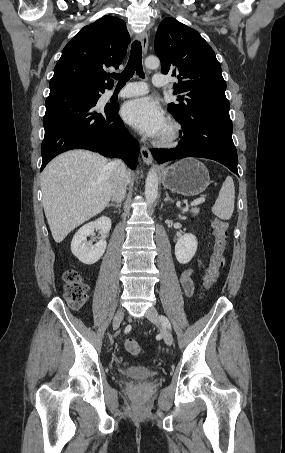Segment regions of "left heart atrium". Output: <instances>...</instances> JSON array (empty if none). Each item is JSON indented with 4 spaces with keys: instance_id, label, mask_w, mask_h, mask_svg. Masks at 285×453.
I'll return each mask as SVG.
<instances>
[{
    "instance_id": "1",
    "label": "left heart atrium",
    "mask_w": 285,
    "mask_h": 453,
    "mask_svg": "<svg viewBox=\"0 0 285 453\" xmlns=\"http://www.w3.org/2000/svg\"><path fill=\"white\" fill-rule=\"evenodd\" d=\"M122 117L128 124L150 137L160 136L166 126L164 112L147 97L126 102L122 108Z\"/></svg>"
}]
</instances>
